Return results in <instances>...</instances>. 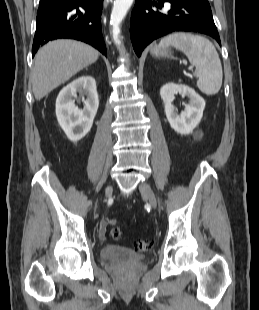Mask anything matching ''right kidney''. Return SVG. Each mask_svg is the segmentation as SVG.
I'll return each instance as SVG.
<instances>
[{"instance_id": "ca27d5eb", "label": "right kidney", "mask_w": 259, "mask_h": 310, "mask_svg": "<svg viewBox=\"0 0 259 310\" xmlns=\"http://www.w3.org/2000/svg\"><path fill=\"white\" fill-rule=\"evenodd\" d=\"M77 93L87 97L82 100L83 110L75 105ZM98 106L96 81L91 76H81L60 91L56 99V117L69 140L77 142L88 134Z\"/></svg>"}]
</instances>
